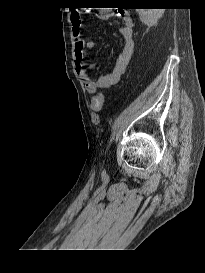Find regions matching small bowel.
<instances>
[{
	"label": "small bowel",
	"instance_id": "obj_1",
	"mask_svg": "<svg viewBox=\"0 0 205 273\" xmlns=\"http://www.w3.org/2000/svg\"><path fill=\"white\" fill-rule=\"evenodd\" d=\"M111 16L112 13L110 10H103L99 14L101 19H108ZM120 18L123 21V26L119 31L124 40L123 48L115 60L112 71L108 74L100 76L98 80L95 81L91 78L90 72L83 68V59L86 51L93 50L96 44L93 40H84L81 37L80 29L83 21L82 16L79 13L71 14L72 29L75 37V66L79 76L85 84L86 89L91 94H96L117 84L121 76L124 74L125 69L132 57L134 50V24L132 18L127 13H120ZM91 69H93V65L89 66V70Z\"/></svg>",
	"mask_w": 205,
	"mask_h": 273
}]
</instances>
